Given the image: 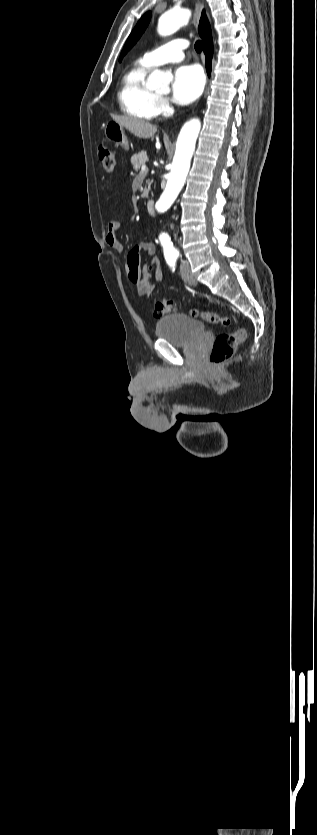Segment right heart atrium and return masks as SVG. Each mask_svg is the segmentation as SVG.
I'll use <instances>...</instances> for the list:
<instances>
[{
  "label": "right heart atrium",
  "instance_id": "1",
  "mask_svg": "<svg viewBox=\"0 0 317 835\" xmlns=\"http://www.w3.org/2000/svg\"><path fill=\"white\" fill-rule=\"evenodd\" d=\"M171 111L169 101L164 97H159L157 102V115H166Z\"/></svg>",
  "mask_w": 317,
  "mask_h": 835
}]
</instances>
